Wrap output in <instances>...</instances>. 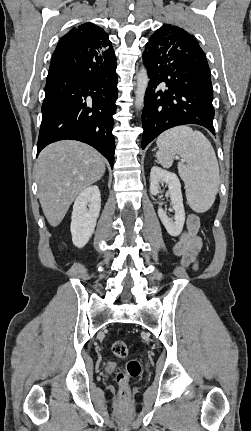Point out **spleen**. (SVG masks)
<instances>
[{
	"mask_svg": "<svg viewBox=\"0 0 251 431\" xmlns=\"http://www.w3.org/2000/svg\"><path fill=\"white\" fill-rule=\"evenodd\" d=\"M156 144V157L163 167L172 166L175 154L182 158L178 172L190 208L197 213L209 210L219 186L218 161L209 140L200 131L183 125L162 133Z\"/></svg>",
	"mask_w": 251,
	"mask_h": 431,
	"instance_id": "obj_1",
	"label": "spleen"
}]
</instances>
